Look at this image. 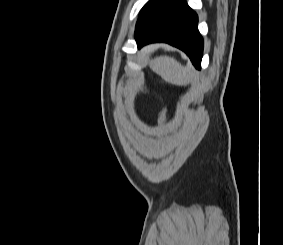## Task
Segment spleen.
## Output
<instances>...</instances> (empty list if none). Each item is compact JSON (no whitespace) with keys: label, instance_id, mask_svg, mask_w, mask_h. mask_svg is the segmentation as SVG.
<instances>
[{"label":"spleen","instance_id":"1","mask_svg":"<svg viewBox=\"0 0 283 245\" xmlns=\"http://www.w3.org/2000/svg\"><path fill=\"white\" fill-rule=\"evenodd\" d=\"M149 66L163 80L173 85L186 86L196 80V74L191 67L181 65L172 57H156Z\"/></svg>","mask_w":283,"mask_h":245}]
</instances>
